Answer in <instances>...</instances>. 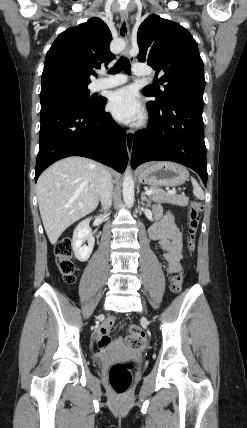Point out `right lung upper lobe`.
<instances>
[{
  "mask_svg": "<svg viewBox=\"0 0 247 428\" xmlns=\"http://www.w3.org/2000/svg\"><path fill=\"white\" fill-rule=\"evenodd\" d=\"M112 35L100 18L61 33L46 54L41 93L64 86H88L92 68H101L115 58L109 44Z\"/></svg>",
  "mask_w": 247,
  "mask_h": 428,
  "instance_id": "right-lung-upper-lobe-1",
  "label": "right lung upper lobe"
}]
</instances>
